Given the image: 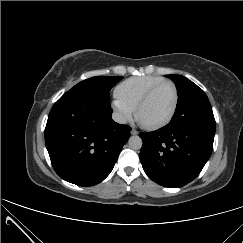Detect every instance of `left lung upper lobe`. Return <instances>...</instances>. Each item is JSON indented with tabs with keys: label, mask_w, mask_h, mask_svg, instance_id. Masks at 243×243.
I'll return each mask as SVG.
<instances>
[{
	"label": "left lung upper lobe",
	"mask_w": 243,
	"mask_h": 243,
	"mask_svg": "<svg viewBox=\"0 0 243 243\" xmlns=\"http://www.w3.org/2000/svg\"><path fill=\"white\" fill-rule=\"evenodd\" d=\"M165 76L174 81L178 92L176 110L170 123L215 130L212 108L203 90L181 75Z\"/></svg>",
	"instance_id": "obj_1"
}]
</instances>
